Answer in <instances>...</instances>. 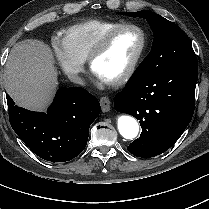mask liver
I'll list each match as a JSON object with an SVG mask.
<instances>
[{"label": "liver", "instance_id": "obj_1", "mask_svg": "<svg viewBox=\"0 0 209 209\" xmlns=\"http://www.w3.org/2000/svg\"><path fill=\"white\" fill-rule=\"evenodd\" d=\"M53 55L45 43L28 39L13 46L4 71L6 92L16 104L42 111L58 85Z\"/></svg>", "mask_w": 209, "mask_h": 209}]
</instances>
